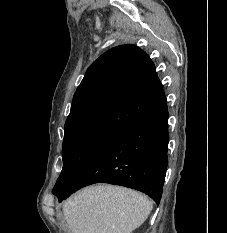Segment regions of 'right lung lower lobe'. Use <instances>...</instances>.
I'll return each instance as SVG.
<instances>
[{
    "mask_svg": "<svg viewBox=\"0 0 227 233\" xmlns=\"http://www.w3.org/2000/svg\"><path fill=\"white\" fill-rule=\"evenodd\" d=\"M167 104L117 133L74 182L54 192L61 202L71 193L93 183L133 188L158 205L168 165Z\"/></svg>",
    "mask_w": 227,
    "mask_h": 233,
    "instance_id": "obj_1",
    "label": "right lung lower lobe"
}]
</instances>
